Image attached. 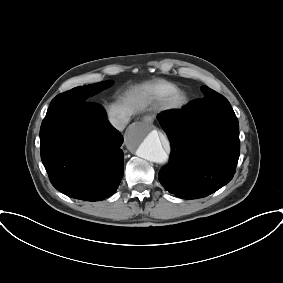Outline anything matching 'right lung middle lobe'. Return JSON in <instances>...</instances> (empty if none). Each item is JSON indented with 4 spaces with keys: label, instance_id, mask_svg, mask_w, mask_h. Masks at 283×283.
<instances>
[{
    "label": "right lung middle lobe",
    "instance_id": "1",
    "mask_svg": "<svg viewBox=\"0 0 283 283\" xmlns=\"http://www.w3.org/2000/svg\"><path fill=\"white\" fill-rule=\"evenodd\" d=\"M112 84L111 81H103L96 84L85 85L81 87L73 88L67 92L57 95L52 101L51 104H54L60 100H78V99H87L98 92L107 89Z\"/></svg>",
    "mask_w": 283,
    "mask_h": 283
}]
</instances>
